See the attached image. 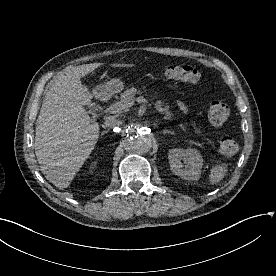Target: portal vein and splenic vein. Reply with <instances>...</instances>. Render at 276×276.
Returning a JSON list of instances; mask_svg holds the SVG:
<instances>
[{
    "label": "portal vein and splenic vein",
    "mask_w": 276,
    "mask_h": 276,
    "mask_svg": "<svg viewBox=\"0 0 276 276\" xmlns=\"http://www.w3.org/2000/svg\"><path fill=\"white\" fill-rule=\"evenodd\" d=\"M136 101L138 103L143 104L144 106H150V103L143 97H138L136 98ZM134 104V101H119L111 106H109L105 112H110V113H122L128 110L129 107H131Z\"/></svg>",
    "instance_id": "18ae733b"
}]
</instances>
